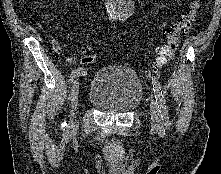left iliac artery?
Masks as SVG:
<instances>
[{
  "label": "left iliac artery",
  "instance_id": "left-iliac-artery-1",
  "mask_svg": "<svg viewBox=\"0 0 221 174\" xmlns=\"http://www.w3.org/2000/svg\"><path fill=\"white\" fill-rule=\"evenodd\" d=\"M152 83H153V91H154L156 103H157L161 118L166 125L168 124V119H169L168 108L166 106V101L164 99V95L161 90V85L156 77L152 78Z\"/></svg>",
  "mask_w": 221,
  "mask_h": 174
}]
</instances>
